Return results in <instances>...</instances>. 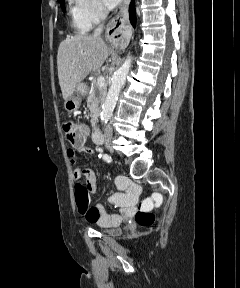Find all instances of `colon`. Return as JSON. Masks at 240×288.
I'll use <instances>...</instances> for the list:
<instances>
[{
    "mask_svg": "<svg viewBox=\"0 0 240 288\" xmlns=\"http://www.w3.org/2000/svg\"><path fill=\"white\" fill-rule=\"evenodd\" d=\"M62 128L66 139L73 145L79 144L86 139V132L82 125L66 121L63 123ZM154 220L155 216L148 211H137L135 214V221L141 227L150 226Z\"/></svg>",
    "mask_w": 240,
    "mask_h": 288,
    "instance_id": "1",
    "label": "colon"
}]
</instances>
